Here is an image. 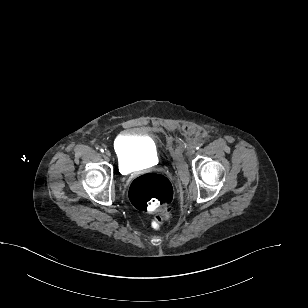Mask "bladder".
Wrapping results in <instances>:
<instances>
[{
	"label": "bladder",
	"instance_id": "obj_1",
	"mask_svg": "<svg viewBox=\"0 0 308 308\" xmlns=\"http://www.w3.org/2000/svg\"><path fill=\"white\" fill-rule=\"evenodd\" d=\"M114 152L122 169L146 166L158 161L155 141L139 128H132L120 134L114 142Z\"/></svg>",
	"mask_w": 308,
	"mask_h": 308
}]
</instances>
